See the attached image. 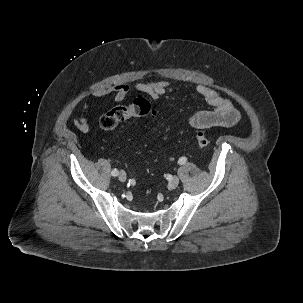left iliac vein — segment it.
I'll return each mask as SVG.
<instances>
[{
    "label": "left iliac vein",
    "mask_w": 303,
    "mask_h": 303,
    "mask_svg": "<svg viewBox=\"0 0 303 303\" xmlns=\"http://www.w3.org/2000/svg\"><path fill=\"white\" fill-rule=\"evenodd\" d=\"M178 184H179V178L177 176H173L168 182L170 189H175L178 186Z\"/></svg>",
    "instance_id": "1"
}]
</instances>
